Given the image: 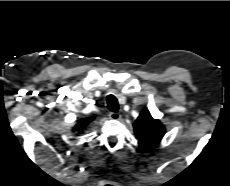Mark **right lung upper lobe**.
I'll return each mask as SVG.
<instances>
[{
    "instance_id": "obj_1",
    "label": "right lung upper lobe",
    "mask_w": 230,
    "mask_h": 186,
    "mask_svg": "<svg viewBox=\"0 0 230 186\" xmlns=\"http://www.w3.org/2000/svg\"><path fill=\"white\" fill-rule=\"evenodd\" d=\"M94 120V117L89 118H82L77 121V124L74 128V130H77L79 132H82L86 127Z\"/></svg>"
}]
</instances>
